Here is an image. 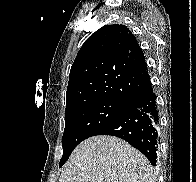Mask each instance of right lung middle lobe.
Listing matches in <instances>:
<instances>
[{"mask_svg":"<svg viewBox=\"0 0 196 182\" xmlns=\"http://www.w3.org/2000/svg\"><path fill=\"white\" fill-rule=\"evenodd\" d=\"M130 103L103 98L90 101L65 112V130L62 137L63 156L61 167L74 148L91 137L104 124L127 110Z\"/></svg>","mask_w":196,"mask_h":182,"instance_id":"1","label":"right lung middle lobe"}]
</instances>
